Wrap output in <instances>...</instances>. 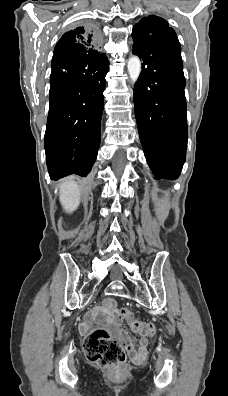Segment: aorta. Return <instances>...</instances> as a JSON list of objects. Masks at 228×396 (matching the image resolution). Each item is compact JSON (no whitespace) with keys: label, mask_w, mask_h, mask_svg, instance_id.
<instances>
[{"label":"aorta","mask_w":228,"mask_h":396,"mask_svg":"<svg viewBox=\"0 0 228 396\" xmlns=\"http://www.w3.org/2000/svg\"><path fill=\"white\" fill-rule=\"evenodd\" d=\"M127 69L132 83L133 84L136 83L141 72V61L139 57L137 56L130 57L127 62Z\"/></svg>","instance_id":"762f6f07"}]
</instances>
